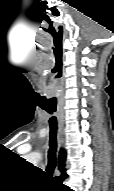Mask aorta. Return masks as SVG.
Returning <instances> with one entry per match:
<instances>
[{"label":"aorta","instance_id":"aorta-1","mask_svg":"<svg viewBox=\"0 0 114 191\" xmlns=\"http://www.w3.org/2000/svg\"><path fill=\"white\" fill-rule=\"evenodd\" d=\"M37 158H38V155H36V154H33V155L30 156L31 160H36Z\"/></svg>","mask_w":114,"mask_h":191}]
</instances>
